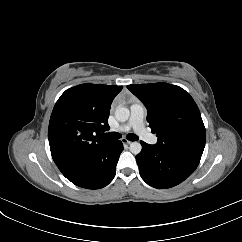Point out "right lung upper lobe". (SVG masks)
<instances>
[{"label": "right lung upper lobe", "mask_w": 242, "mask_h": 242, "mask_svg": "<svg viewBox=\"0 0 242 242\" xmlns=\"http://www.w3.org/2000/svg\"><path fill=\"white\" fill-rule=\"evenodd\" d=\"M122 88L86 83L72 87L60 96L48 128L51 155L60 171L111 142L100 138V134L109 129L110 106Z\"/></svg>", "instance_id": "1"}]
</instances>
